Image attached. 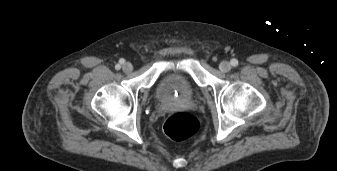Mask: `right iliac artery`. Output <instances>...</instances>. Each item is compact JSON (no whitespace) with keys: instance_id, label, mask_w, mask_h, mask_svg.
<instances>
[{"instance_id":"obj_1","label":"right iliac artery","mask_w":337,"mask_h":171,"mask_svg":"<svg viewBox=\"0 0 337 171\" xmlns=\"http://www.w3.org/2000/svg\"><path fill=\"white\" fill-rule=\"evenodd\" d=\"M119 62L122 64V63H124V60H123V59H121ZM115 68H116L117 70H119V69H120V65H119V64H117V65L115 66Z\"/></svg>"}]
</instances>
